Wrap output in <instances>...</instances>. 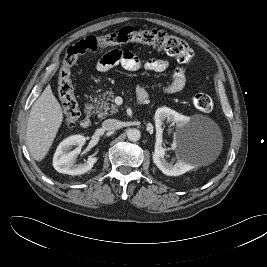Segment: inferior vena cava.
Returning a JSON list of instances; mask_svg holds the SVG:
<instances>
[{
	"label": "inferior vena cava",
	"instance_id": "obj_1",
	"mask_svg": "<svg viewBox=\"0 0 267 267\" xmlns=\"http://www.w3.org/2000/svg\"><path fill=\"white\" fill-rule=\"evenodd\" d=\"M102 127L104 130L113 131L119 129L121 127V123L116 119H107L102 123Z\"/></svg>",
	"mask_w": 267,
	"mask_h": 267
}]
</instances>
